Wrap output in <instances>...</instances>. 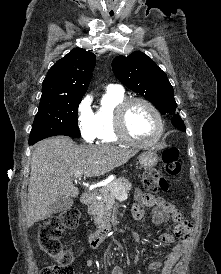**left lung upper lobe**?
<instances>
[{
  "label": "left lung upper lobe",
  "mask_w": 221,
  "mask_h": 274,
  "mask_svg": "<svg viewBox=\"0 0 221 274\" xmlns=\"http://www.w3.org/2000/svg\"><path fill=\"white\" fill-rule=\"evenodd\" d=\"M116 77L129 89L145 97L162 114L172 116V124L186 131L181 117L176 111L174 91L166 74L146 54L137 51L129 56H118L112 61Z\"/></svg>",
  "instance_id": "obj_1"
}]
</instances>
